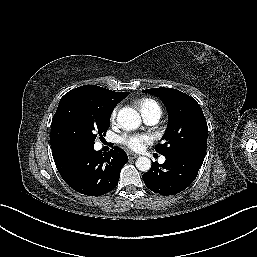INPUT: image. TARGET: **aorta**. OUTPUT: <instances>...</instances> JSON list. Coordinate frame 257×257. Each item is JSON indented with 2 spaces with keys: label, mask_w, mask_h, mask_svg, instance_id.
Here are the masks:
<instances>
[{
  "label": "aorta",
  "mask_w": 257,
  "mask_h": 257,
  "mask_svg": "<svg viewBox=\"0 0 257 257\" xmlns=\"http://www.w3.org/2000/svg\"><path fill=\"white\" fill-rule=\"evenodd\" d=\"M117 121L123 128L132 130L140 126L141 117L133 108L125 107L119 111ZM135 164L137 169L143 172H147L151 168V160L147 157H139Z\"/></svg>",
  "instance_id": "762f6f07"
}]
</instances>
